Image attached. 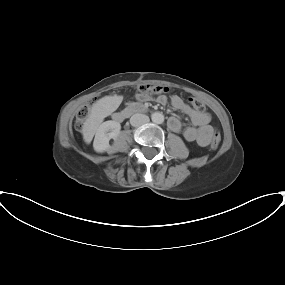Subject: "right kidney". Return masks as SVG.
Here are the masks:
<instances>
[{
	"label": "right kidney",
	"mask_w": 285,
	"mask_h": 285,
	"mask_svg": "<svg viewBox=\"0 0 285 285\" xmlns=\"http://www.w3.org/2000/svg\"><path fill=\"white\" fill-rule=\"evenodd\" d=\"M121 125L116 121H106L102 123L95 134L93 148L98 153H103L111 150L109 145L110 139H116L120 134Z\"/></svg>",
	"instance_id": "1"
}]
</instances>
